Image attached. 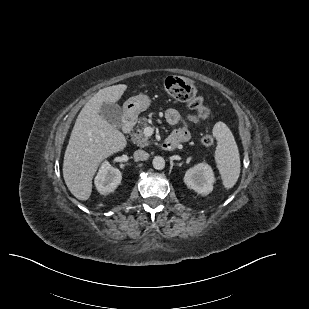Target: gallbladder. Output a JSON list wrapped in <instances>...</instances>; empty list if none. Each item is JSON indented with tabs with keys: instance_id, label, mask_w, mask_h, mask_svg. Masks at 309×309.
Here are the masks:
<instances>
[{
	"instance_id": "bac80fb5",
	"label": "gallbladder",
	"mask_w": 309,
	"mask_h": 309,
	"mask_svg": "<svg viewBox=\"0 0 309 309\" xmlns=\"http://www.w3.org/2000/svg\"><path fill=\"white\" fill-rule=\"evenodd\" d=\"M100 115L112 126L120 128L122 126L123 112L117 103H103Z\"/></svg>"
}]
</instances>
